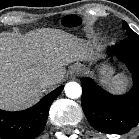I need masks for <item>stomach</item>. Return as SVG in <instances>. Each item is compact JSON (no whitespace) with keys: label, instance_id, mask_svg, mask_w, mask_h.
<instances>
[{"label":"stomach","instance_id":"stomach-1","mask_svg":"<svg viewBox=\"0 0 139 139\" xmlns=\"http://www.w3.org/2000/svg\"><path fill=\"white\" fill-rule=\"evenodd\" d=\"M100 73L105 79H107L111 74V70L109 68L100 67Z\"/></svg>","mask_w":139,"mask_h":139}]
</instances>
